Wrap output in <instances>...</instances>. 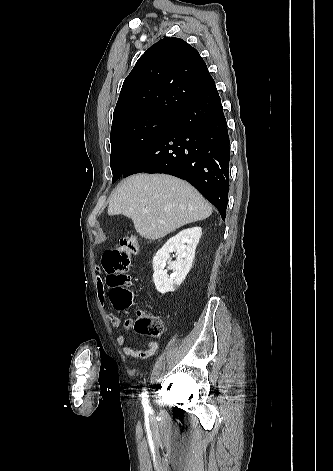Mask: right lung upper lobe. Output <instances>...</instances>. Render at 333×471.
<instances>
[{
	"instance_id": "cb5924a9",
	"label": "right lung upper lobe",
	"mask_w": 333,
	"mask_h": 471,
	"mask_svg": "<svg viewBox=\"0 0 333 471\" xmlns=\"http://www.w3.org/2000/svg\"><path fill=\"white\" fill-rule=\"evenodd\" d=\"M214 85L195 48L182 39L165 37L146 50L126 77L113 122L148 111L177 114Z\"/></svg>"
}]
</instances>
